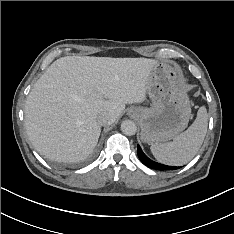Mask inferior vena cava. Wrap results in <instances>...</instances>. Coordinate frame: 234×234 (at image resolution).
Wrapping results in <instances>:
<instances>
[{
    "label": "inferior vena cava",
    "instance_id": "inferior-vena-cava-1",
    "mask_svg": "<svg viewBox=\"0 0 234 234\" xmlns=\"http://www.w3.org/2000/svg\"><path fill=\"white\" fill-rule=\"evenodd\" d=\"M110 120L111 119H110V116L108 113H103V114L99 115L97 118L98 123L102 126L110 124Z\"/></svg>",
    "mask_w": 234,
    "mask_h": 234
}]
</instances>
